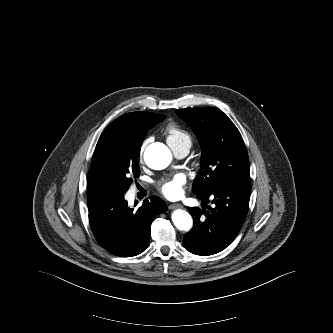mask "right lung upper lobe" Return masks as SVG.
Instances as JSON below:
<instances>
[{
	"instance_id": "obj_1",
	"label": "right lung upper lobe",
	"mask_w": 333,
	"mask_h": 333,
	"mask_svg": "<svg viewBox=\"0 0 333 333\" xmlns=\"http://www.w3.org/2000/svg\"><path fill=\"white\" fill-rule=\"evenodd\" d=\"M163 119H165V116L156 115L149 112H132L120 116L104 130L99 138L91 161L89 195L106 193L102 187L98 173L93 165V160L96 156V151L101 141L105 138H110L116 141H124L135 138L139 134L147 132Z\"/></svg>"
}]
</instances>
